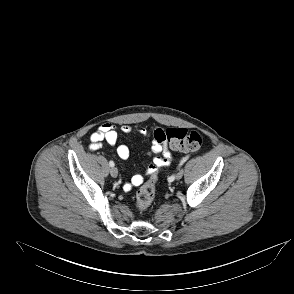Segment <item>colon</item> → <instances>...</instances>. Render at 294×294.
Listing matches in <instances>:
<instances>
[{
  "label": "colon",
  "mask_w": 294,
  "mask_h": 294,
  "mask_svg": "<svg viewBox=\"0 0 294 294\" xmlns=\"http://www.w3.org/2000/svg\"><path fill=\"white\" fill-rule=\"evenodd\" d=\"M154 137L161 143H168L172 149L181 151H198L203 144V138L200 133L194 130L184 128L155 129ZM157 174L140 187L136 195V204L140 211L149 209L155 197V184Z\"/></svg>",
  "instance_id": "5ec220e1"
}]
</instances>
